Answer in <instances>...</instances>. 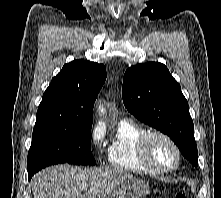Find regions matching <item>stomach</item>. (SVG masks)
Segmentation results:
<instances>
[{
    "label": "stomach",
    "instance_id": "1",
    "mask_svg": "<svg viewBox=\"0 0 221 198\" xmlns=\"http://www.w3.org/2000/svg\"><path fill=\"white\" fill-rule=\"evenodd\" d=\"M150 192L149 184L145 181L132 179L121 183L105 198H144Z\"/></svg>",
    "mask_w": 221,
    "mask_h": 198
}]
</instances>
